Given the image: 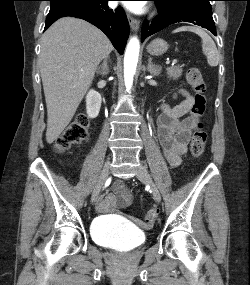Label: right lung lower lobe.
<instances>
[{
  "instance_id": "obj_1",
  "label": "right lung lower lobe",
  "mask_w": 250,
  "mask_h": 285,
  "mask_svg": "<svg viewBox=\"0 0 250 285\" xmlns=\"http://www.w3.org/2000/svg\"><path fill=\"white\" fill-rule=\"evenodd\" d=\"M109 0H92L88 3L67 5L50 10L45 23L46 30L57 19L72 16L84 19L100 30L110 39L116 50L123 54L128 35L129 24L121 7L113 10L108 7Z\"/></svg>"
}]
</instances>
